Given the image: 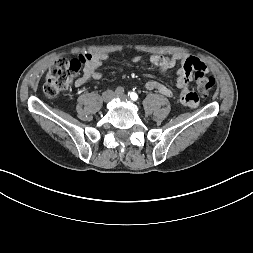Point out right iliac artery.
I'll use <instances>...</instances> for the list:
<instances>
[{"mask_svg": "<svg viewBox=\"0 0 253 253\" xmlns=\"http://www.w3.org/2000/svg\"><path fill=\"white\" fill-rule=\"evenodd\" d=\"M115 93L117 95L123 94L124 93V88L123 87H117L116 90H115Z\"/></svg>", "mask_w": 253, "mask_h": 253, "instance_id": "82829eb1", "label": "right iliac artery"}]
</instances>
